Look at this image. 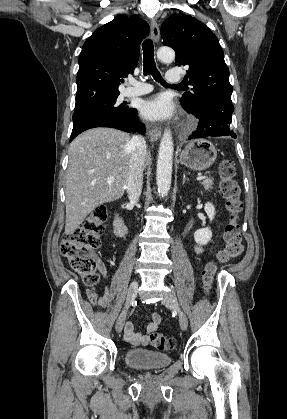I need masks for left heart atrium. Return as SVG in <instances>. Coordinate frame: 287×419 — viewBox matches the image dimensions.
<instances>
[{"label":"left heart atrium","mask_w":287,"mask_h":419,"mask_svg":"<svg viewBox=\"0 0 287 419\" xmlns=\"http://www.w3.org/2000/svg\"><path fill=\"white\" fill-rule=\"evenodd\" d=\"M171 102L164 95L154 96L141 104V114L148 120H161L171 114Z\"/></svg>","instance_id":"1"}]
</instances>
